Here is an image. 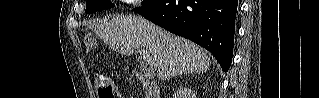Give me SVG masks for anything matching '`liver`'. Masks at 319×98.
<instances>
[{
    "label": "liver",
    "instance_id": "obj_1",
    "mask_svg": "<svg viewBox=\"0 0 319 98\" xmlns=\"http://www.w3.org/2000/svg\"><path fill=\"white\" fill-rule=\"evenodd\" d=\"M89 28L118 53L132 55L138 49L147 50L162 81L183 74H203L211 64L208 55L195 43L140 16L118 14L92 23Z\"/></svg>",
    "mask_w": 319,
    "mask_h": 98
}]
</instances>
